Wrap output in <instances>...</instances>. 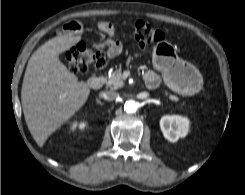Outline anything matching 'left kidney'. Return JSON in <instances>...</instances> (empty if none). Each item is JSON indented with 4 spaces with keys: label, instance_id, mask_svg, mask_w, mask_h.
Here are the masks:
<instances>
[{
    "label": "left kidney",
    "instance_id": "5707ae66",
    "mask_svg": "<svg viewBox=\"0 0 245 195\" xmlns=\"http://www.w3.org/2000/svg\"><path fill=\"white\" fill-rule=\"evenodd\" d=\"M160 127L167 140L176 142L179 138L187 135L189 119L179 115H166L161 118Z\"/></svg>",
    "mask_w": 245,
    "mask_h": 195
}]
</instances>
